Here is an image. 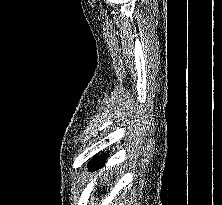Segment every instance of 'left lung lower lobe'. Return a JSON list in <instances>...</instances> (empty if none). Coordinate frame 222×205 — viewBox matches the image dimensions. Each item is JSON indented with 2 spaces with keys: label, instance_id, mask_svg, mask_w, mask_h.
<instances>
[{
  "label": "left lung lower lobe",
  "instance_id": "1",
  "mask_svg": "<svg viewBox=\"0 0 222 205\" xmlns=\"http://www.w3.org/2000/svg\"><path fill=\"white\" fill-rule=\"evenodd\" d=\"M106 155H104L103 157H96L93 160L90 161L89 164V169L90 170H96L99 167H101L102 165H104L106 163Z\"/></svg>",
  "mask_w": 222,
  "mask_h": 205
}]
</instances>
